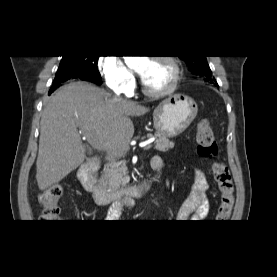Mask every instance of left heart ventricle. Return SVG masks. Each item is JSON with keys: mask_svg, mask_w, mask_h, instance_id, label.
I'll use <instances>...</instances> for the list:
<instances>
[{"mask_svg": "<svg viewBox=\"0 0 277 277\" xmlns=\"http://www.w3.org/2000/svg\"><path fill=\"white\" fill-rule=\"evenodd\" d=\"M138 70L145 74V85L152 90H161L168 86L172 72L168 65L161 61H144Z\"/></svg>", "mask_w": 277, "mask_h": 277, "instance_id": "b2bd125f", "label": "left heart ventricle"}]
</instances>
